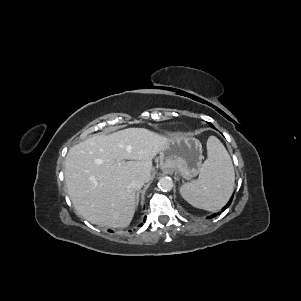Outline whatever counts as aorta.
I'll use <instances>...</instances> for the list:
<instances>
[{"label":"aorta","mask_w":301,"mask_h":301,"mask_svg":"<svg viewBox=\"0 0 301 301\" xmlns=\"http://www.w3.org/2000/svg\"><path fill=\"white\" fill-rule=\"evenodd\" d=\"M173 185H174L173 180L168 176H164V177L160 178L159 181H158V187L162 191L172 190Z\"/></svg>","instance_id":"obj_1"}]
</instances>
